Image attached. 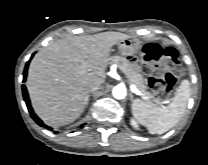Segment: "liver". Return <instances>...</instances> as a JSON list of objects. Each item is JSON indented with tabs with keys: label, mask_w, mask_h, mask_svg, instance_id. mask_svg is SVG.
<instances>
[{
	"label": "liver",
	"mask_w": 208,
	"mask_h": 165,
	"mask_svg": "<svg viewBox=\"0 0 208 165\" xmlns=\"http://www.w3.org/2000/svg\"><path fill=\"white\" fill-rule=\"evenodd\" d=\"M128 38L103 32L42 48L30 63L26 84L35 113L56 126L75 121L85 108L89 86L105 82L111 47Z\"/></svg>",
	"instance_id": "obj_1"
}]
</instances>
